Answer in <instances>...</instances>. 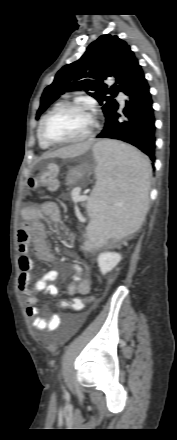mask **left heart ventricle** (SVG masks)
Wrapping results in <instances>:
<instances>
[{"mask_svg": "<svg viewBox=\"0 0 177 440\" xmlns=\"http://www.w3.org/2000/svg\"><path fill=\"white\" fill-rule=\"evenodd\" d=\"M92 120L83 110L69 109L56 114L46 126V134L55 140H72L84 136Z\"/></svg>", "mask_w": 177, "mask_h": 440, "instance_id": "left-heart-ventricle-1", "label": "left heart ventricle"}]
</instances>
